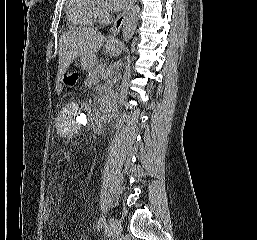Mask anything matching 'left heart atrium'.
<instances>
[{"instance_id": "39dd6f15", "label": "left heart atrium", "mask_w": 257, "mask_h": 240, "mask_svg": "<svg viewBox=\"0 0 257 240\" xmlns=\"http://www.w3.org/2000/svg\"><path fill=\"white\" fill-rule=\"evenodd\" d=\"M110 4L115 9H121L127 6L130 0H109Z\"/></svg>"}]
</instances>
